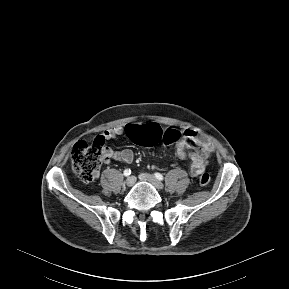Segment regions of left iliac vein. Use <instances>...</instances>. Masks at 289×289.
<instances>
[{"label":"left iliac vein","instance_id":"1","mask_svg":"<svg viewBox=\"0 0 289 289\" xmlns=\"http://www.w3.org/2000/svg\"><path fill=\"white\" fill-rule=\"evenodd\" d=\"M139 179L141 181H145V182L151 183L158 190L163 189V184L159 180H157L154 176H152L151 174L141 173L139 175Z\"/></svg>","mask_w":289,"mask_h":289}]
</instances>
